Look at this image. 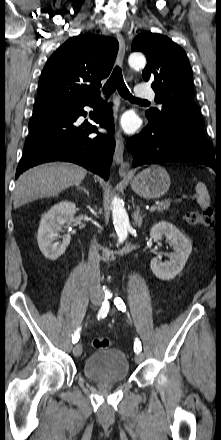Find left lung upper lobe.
Wrapping results in <instances>:
<instances>
[{
  "instance_id": "5c2ea615",
  "label": "left lung upper lobe",
  "mask_w": 221,
  "mask_h": 440,
  "mask_svg": "<svg viewBox=\"0 0 221 440\" xmlns=\"http://www.w3.org/2000/svg\"><path fill=\"white\" fill-rule=\"evenodd\" d=\"M132 51L146 55L142 76L152 82L155 100L161 110L146 111L148 120L160 122L170 116H182L204 123L193 99L192 70L185 51L168 37L144 31L132 42Z\"/></svg>"
}]
</instances>
